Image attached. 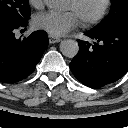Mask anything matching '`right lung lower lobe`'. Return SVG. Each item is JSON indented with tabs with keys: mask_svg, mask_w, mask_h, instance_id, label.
I'll list each match as a JSON object with an SVG mask.
<instances>
[{
	"mask_svg": "<svg viewBox=\"0 0 128 128\" xmlns=\"http://www.w3.org/2000/svg\"><path fill=\"white\" fill-rule=\"evenodd\" d=\"M0 25V82L14 83L29 76L36 68L48 45L47 34L36 31L22 40L15 30L26 27Z\"/></svg>",
	"mask_w": 128,
	"mask_h": 128,
	"instance_id": "right-lung-lower-lobe-1",
	"label": "right lung lower lobe"
}]
</instances>
